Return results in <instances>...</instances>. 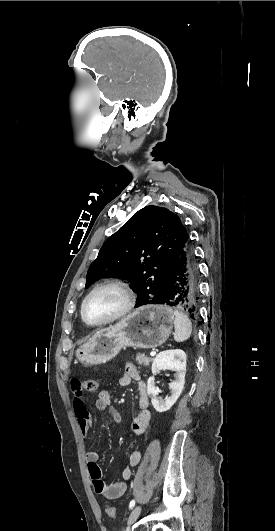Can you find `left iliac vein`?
Here are the masks:
<instances>
[{"instance_id":"obj_1","label":"left iliac vein","mask_w":275,"mask_h":531,"mask_svg":"<svg viewBox=\"0 0 275 531\" xmlns=\"http://www.w3.org/2000/svg\"><path fill=\"white\" fill-rule=\"evenodd\" d=\"M141 513V505H137L130 513L128 518V526L133 525L136 520L138 519L139 515Z\"/></svg>"}]
</instances>
